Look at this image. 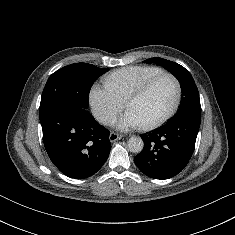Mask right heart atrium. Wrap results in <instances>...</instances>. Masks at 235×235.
Masks as SVG:
<instances>
[{
	"label": "right heart atrium",
	"instance_id": "right-heart-atrium-1",
	"mask_svg": "<svg viewBox=\"0 0 235 235\" xmlns=\"http://www.w3.org/2000/svg\"><path fill=\"white\" fill-rule=\"evenodd\" d=\"M89 101L94 116L104 124L110 123L125 106L106 83L92 86Z\"/></svg>",
	"mask_w": 235,
	"mask_h": 235
}]
</instances>
